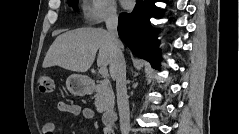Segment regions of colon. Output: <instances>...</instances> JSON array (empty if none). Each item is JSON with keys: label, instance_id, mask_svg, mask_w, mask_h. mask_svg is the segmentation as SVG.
<instances>
[{"label": "colon", "instance_id": "colon-1", "mask_svg": "<svg viewBox=\"0 0 239 134\" xmlns=\"http://www.w3.org/2000/svg\"><path fill=\"white\" fill-rule=\"evenodd\" d=\"M38 89L41 93L52 92L54 89V81L52 77L47 74H41L38 78Z\"/></svg>", "mask_w": 239, "mask_h": 134}]
</instances>
